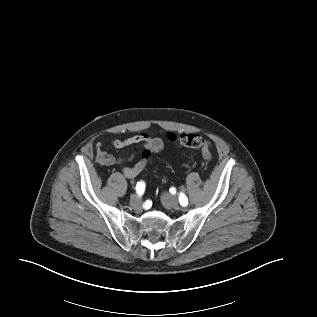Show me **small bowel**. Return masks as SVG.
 <instances>
[{"label": "small bowel", "instance_id": "1", "mask_svg": "<svg viewBox=\"0 0 317 317\" xmlns=\"http://www.w3.org/2000/svg\"><path fill=\"white\" fill-rule=\"evenodd\" d=\"M143 144L150 148L153 152H159L163 149V141L158 137H151L149 134L141 132L137 135L124 138V139H113L111 145L116 149H123L132 145ZM201 152L205 158H210V144L203 142ZM135 158V154L114 157L108 154L103 145L99 144L96 147V162L102 167H111L115 165H122V173L127 178H134L140 174L145 168L146 162L141 160L138 161L134 166H127L125 163Z\"/></svg>", "mask_w": 317, "mask_h": 317}]
</instances>
